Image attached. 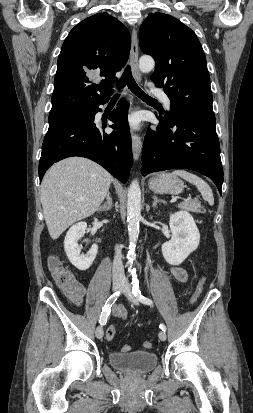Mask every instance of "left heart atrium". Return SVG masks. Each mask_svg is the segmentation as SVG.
Here are the masks:
<instances>
[{"instance_id": "1", "label": "left heart atrium", "mask_w": 253, "mask_h": 413, "mask_svg": "<svg viewBox=\"0 0 253 413\" xmlns=\"http://www.w3.org/2000/svg\"><path fill=\"white\" fill-rule=\"evenodd\" d=\"M140 118L137 115H131L128 118V124L129 126L133 128H137L139 126Z\"/></svg>"}]
</instances>
